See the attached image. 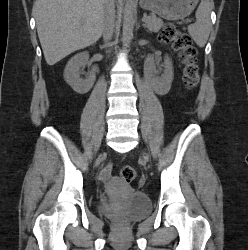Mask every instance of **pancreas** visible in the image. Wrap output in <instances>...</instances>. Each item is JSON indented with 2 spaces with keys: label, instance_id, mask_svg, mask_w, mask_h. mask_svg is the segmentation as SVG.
<instances>
[{
  "label": "pancreas",
  "instance_id": "1",
  "mask_svg": "<svg viewBox=\"0 0 248 250\" xmlns=\"http://www.w3.org/2000/svg\"><path fill=\"white\" fill-rule=\"evenodd\" d=\"M147 21L144 22V26L150 32H158L163 27V21L157 18L155 15L145 16Z\"/></svg>",
  "mask_w": 248,
  "mask_h": 250
}]
</instances>
